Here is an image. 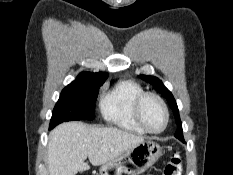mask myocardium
<instances>
[{"label":"myocardium","instance_id":"myocardium-1","mask_svg":"<svg viewBox=\"0 0 233 175\" xmlns=\"http://www.w3.org/2000/svg\"><path fill=\"white\" fill-rule=\"evenodd\" d=\"M148 98H154L156 101H158V103L160 104L164 112L165 122L162 128L159 130L150 129L143 120L142 106L145 100ZM133 112H134V116H135L137 123L144 129V131L151 133V134H159L163 132L169 123V110H168L166 102L160 95L153 93V92H144L141 95H139L134 102Z\"/></svg>","mask_w":233,"mask_h":175}]
</instances>
